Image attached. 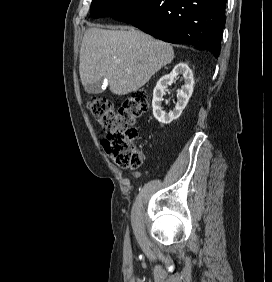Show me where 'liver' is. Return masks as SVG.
Here are the masks:
<instances>
[{"label":"liver","mask_w":272,"mask_h":282,"mask_svg":"<svg viewBox=\"0 0 272 282\" xmlns=\"http://www.w3.org/2000/svg\"><path fill=\"white\" fill-rule=\"evenodd\" d=\"M174 59L173 47L139 30H86L79 73L83 86L107 79L113 94L138 90Z\"/></svg>","instance_id":"1"}]
</instances>
